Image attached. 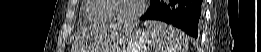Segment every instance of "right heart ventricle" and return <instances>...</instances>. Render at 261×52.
Segmentation results:
<instances>
[{"label":"right heart ventricle","instance_id":"1","mask_svg":"<svg viewBox=\"0 0 261 52\" xmlns=\"http://www.w3.org/2000/svg\"><path fill=\"white\" fill-rule=\"evenodd\" d=\"M106 0H87L83 7L84 18L92 24H111L110 17L105 12Z\"/></svg>","mask_w":261,"mask_h":52}]
</instances>
